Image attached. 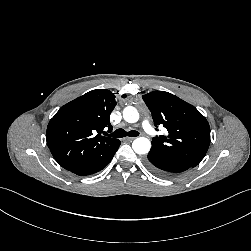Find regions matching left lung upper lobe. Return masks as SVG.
Returning <instances> with one entry per match:
<instances>
[{
    "instance_id": "5c2ea615",
    "label": "left lung upper lobe",
    "mask_w": 251,
    "mask_h": 251,
    "mask_svg": "<svg viewBox=\"0 0 251 251\" xmlns=\"http://www.w3.org/2000/svg\"><path fill=\"white\" fill-rule=\"evenodd\" d=\"M152 113L155 126L163 125L167 136H156L150 151L182 160L195 167L204 158L210 144L206 118L191 104L177 96L153 91L142 96Z\"/></svg>"
}]
</instances>
